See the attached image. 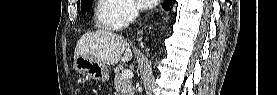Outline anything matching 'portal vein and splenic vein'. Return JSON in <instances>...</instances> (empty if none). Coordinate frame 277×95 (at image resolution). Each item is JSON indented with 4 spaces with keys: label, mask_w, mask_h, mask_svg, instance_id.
Masks as SVG:
<instances>
[{
    "label": "portal vein and splenic vein",
    "mask_w": 277,
    "mask_h": 95,
    "mask_svg": "<svg viewBox=\"0 0 277 95\" xmlns=\"http://www.w3.org/2000/svg\"><path fill=\"white\" fill-rule=\"evenodd\" d=\"M121 76L125 79H131L133 77V72L131 70H123Z\"/></svg>",
    "instance_id": "obj_1"
}]
</instances>
